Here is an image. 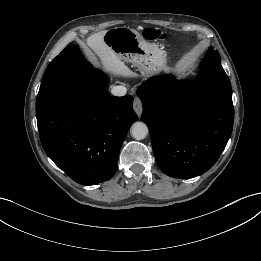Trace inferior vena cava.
<instances>
[{
	"mask_svg": "<svg viewBox=\"0 0 261 261\" xmlns=\"http://www.w3.org/2000/svg\"><path fill=\"white\" fill-rule=\"evenodd\" d=\"M127 92V89L124 86H114L111 89V93L114 96H124Z\"/></svg>",
	"mask_w": 261,
	"mask_h": 261,
	"instance_id": "obj_1",
	"label": "inferior vena cava"
}]
</instances>
